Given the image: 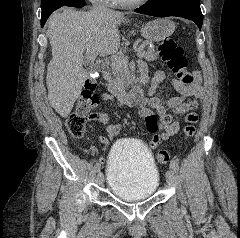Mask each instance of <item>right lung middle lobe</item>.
I'll return each instance as SVG.
<instances>
[{"label": "right lung middle lobe", "instance_id": "right-lung-middle-lobe-1", "mask_svg": "<svg viewBox=\"0 0 240 238\" xmlns=\"http://www.w3.org/2000/svg\"><path fill=\"white\" fill-rule=\"evenodd\" d=\"M72 0H41L42 3V17L41 20L47 19L50 14L62 7L63 5L69 6Z\"/></svg>", "mask_w": 240, "mask_h": 238}]
</instances>
